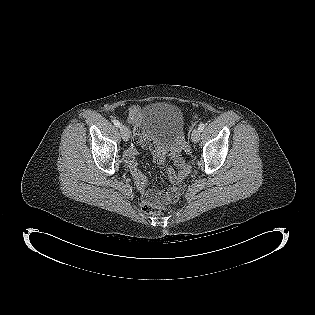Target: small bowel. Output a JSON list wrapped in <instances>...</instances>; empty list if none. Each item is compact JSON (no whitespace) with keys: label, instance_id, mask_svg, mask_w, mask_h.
Masks as SVG:
<instances>
[{"label":"small bowel","instance_id":"small-bowel-1","mask_svg":"<svg viewBox=\"0 0 315 315\" xmlns=\"http://www.w3.org/2000/svg\"><path fill=\"white\" fill-rule=\"evenodd\" d=\"M141 108L139 106H132L129 108L128 111V121L132 125L135 126V140L145 147H148L150 149H153V160L165 166L166 176L168 179L173 180L176 178L177 173L173 169H169L166 167V160L168 157H173L175 154V151L173 149H160L156 148L152 142L147 140L145 136L140 131V123H141ZM136 154L137 151L135 148H130L125 154V161L130 169V172L132 174V177L138 187L139 192L146 198H151L153 195L152 189L149 188V182L147 178L142 174L138 163L136 161Z\"/></svg>","mask_w":315,"mask_h":315}]
</instances>
